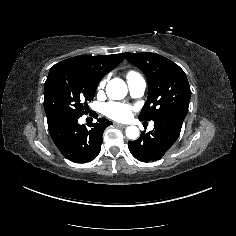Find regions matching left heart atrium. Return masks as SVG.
Listing matches in <instances>:
<instances>
[{
	"instance_id": "left-heart-atrium-1",
	"label": "left heart atrium",
	"mask_w": 236,
	"mask_h": 236,
	"mask_svg": "<svg viewBox=\"0 0 236 236\" xmlns=\"http://www.w3.org/2000/svg\"><path fill=\"white\" fill-rule=\"evenodd\" d=\"M132 112V106L125 103L108 102L102 107V113L113 120H124L128 118Z\"/></svg>"
}]
</instances>
